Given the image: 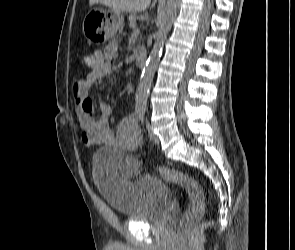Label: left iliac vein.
<instances>
[{"instance_id": "obj_1", "label": "left iliac vein", "mask_w": 295, "mask_h": 250, "mask_svg": "<svg viewBox=\"0 0 295 250\" xmlns=\"http://www.w3.org/2000/svg\"><path fill=\"white\" fill-rule=\"evenodd\" d=\"M146 127H147V131H148V135H149L150 139L152 140V142L155 143L156 145H159V143H160L159 138L153 132V127L148 121L146 123Z\"/></svg>"}]
</instances>
